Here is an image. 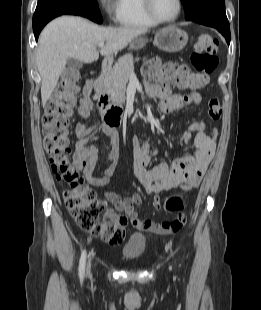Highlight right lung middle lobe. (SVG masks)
Wrapping results in <instances>:
<instances>
[{"mask_svg":"<svg viewBox=\"0 0 261 310\" xmlns=\"http://www.w3.org/2000/svg\"><path fill=\"white\" fill-rule=\"evenodd\" d=\"M54 14H73L89 18L96 23H102L97 0H38L33 15V24L40 19Z\"/></svg>","mask_w":261,"mask_h":310,"instance_id":"dd1d6c3e","label":"right lung middle lobe"}]
</instances>
